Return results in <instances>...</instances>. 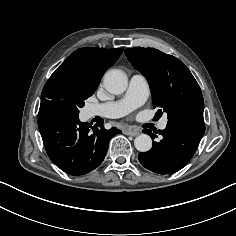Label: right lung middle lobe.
I'll return each instance as SVG.
<instances>
[{
    "label": "right lung middle lobe",
    "mask_w": 236,
    "mask_h": 236,
    "mask_svg": "<svg viewBox=\"0 0 236 236\" xmlns=\"http://www.w3.org/2000/svg\"><path fill=\"white\" fill-rule=\"evenodd\" d=\"M95 90L96 88L62 73L50 77L43 88L41 102L56 101L78 114L79 108L84 106L85 99L90 97Z\"/></svg>",
    "instance_id": "right-lung-middle-lobe-1"
}]
</instances>
